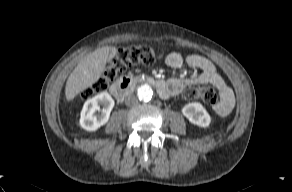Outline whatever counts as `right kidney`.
<instances>
[{
  "label": "right kidney",
  "mask_w": 292,
  "mask_h": 192,
  "mask_svg": "<svg viewBox=\"0 0 292 192\" xmlns=\"http://www.w3.org/2000/svg\"><path fill=\"white\" fill-rule=\"evenodd\" d=\"M114 104L113 98L107 92L88 99L81 111L80 126L87 131H96L108 122ZM97 111L101 113L96 114Z\"/></svg>",
  "instance_id": "ca27d5eb"
}]
</instances>
